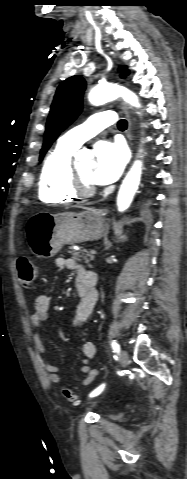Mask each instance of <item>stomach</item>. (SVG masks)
Listing matches in <instances>:
<instances>
[{"instance_id":"0dacf381","label":"stomach","mask_w":187,"mask_h":479,"mask_svg":"<svg viewBox=\"0 0 187 479\" xmlns=\"http://www.w3.org/2000/svg\"><path fill=\"white\" fill-rule=\"evenodd\" d=\"M103 232V214L93 208L58 214L39 212L28 220L25 228L30 250L45 259L57 254L64 244L96 240Z\"/></svg>"}]
</instances>
